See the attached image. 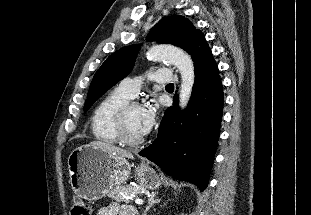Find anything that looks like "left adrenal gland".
I'll list each match as a JSON object with an SVG mask.
<instances>
[{"mask_svg":"<svg viewBox=\"0 0 311 215\" xmlns=\"http://www.w3.org/2000/svg\"><path fill=\"white\" fill-rule=\"evenodd\" d=\"M156 193H152L148 198V205L146 206V209L144 210L143 215H146L149 209L156 203H159L161 199H155Z\"/></svg>","mask_w":311,"mask_h":215,"instance_id":"a2214340","label":"left adrenal gland"}]
</instances>
